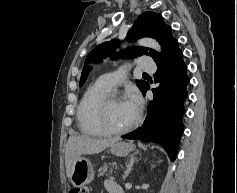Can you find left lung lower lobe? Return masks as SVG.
<instances>
[{
    "label": "left lung lower lobe",
    "instance_id": "1",
    "mask_svg": "<svg viewBox=\"0 0 237 193\" xmlns=\"http://www.w3.org/2000/svg\"><path fill=\"white\" fill-rule=\"evenodd\" d=\"M156 64L157 73L154 79L155 82L161 84L152 89L154 100L148 106L144 124L122 138L158 143L164 147L170 160L174 161L184 128L183 103L187 97L186 86L189 83L186 74L187 67L177 40L171 44ZM148 89L147 83L142 90L143 95Z\"/></svg>",
    "mask_w": 237,
    "mask_h": 193
}]
</instances>
